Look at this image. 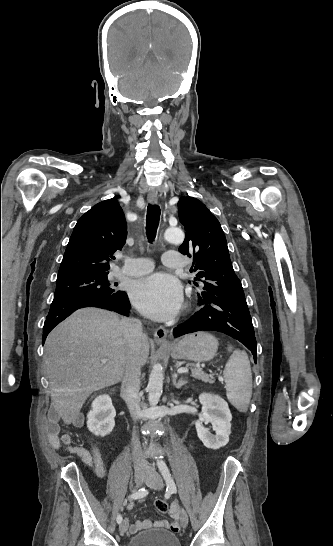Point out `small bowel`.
Segmentation results:
<instances>
[{"label":"small bowel","instance_id":"c3829d8e","mask_svg":"<svg viewBox=\"0 0 333 546\" xmlns=\"http://www.w3.org/2000/svg\"><path fill=\"white\" fill-rule=\"evenodd\" d=\"M81 421L80 419L74 421V425H80ZM48 440L49 443L54 447H63L73 453H76L81 457L83 462L91 468L97 475H103L104 468L102 459L99 453V450L95 443H92L91 450H87L83 447L74 446L72 443V439L68 434H61V429L59 425V418L58 417H52L50 418L48 422ZM128 509H131L133 507V503L130 502L127 505ZM170 515L172 518V523H169L166 520H162L158 522V525L161 527H172L173 531H178V519H179V510L178 505L175 503L171 506L170 509ZM152 525L151 521H143L137 519L130 527L129 531L131 533H135L139 531L140 529H143L145 527H149Z\"/></svg>","mask_w":333,"mask_h":546}]
</instances>
